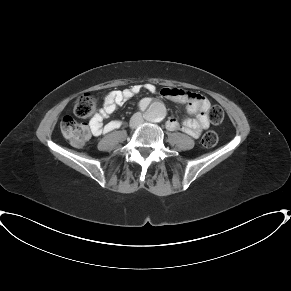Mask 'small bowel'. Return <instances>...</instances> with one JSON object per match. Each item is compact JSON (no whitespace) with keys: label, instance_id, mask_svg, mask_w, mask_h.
Listing matches in <instances>:
<instances>
[{"label":"small bowel","instance_id":"1","mask_svg":"<svg viewBox=\"0 0 291 291\" xmlns=\"http://www.w3.org/2000/svg\"><path fill=\"white\" fill-rule=\"evenodd\" d=\"M147 91L158 93L161 97L169 100L187 103V113L194 118H186L181 123L174 117L168 118L166 128L170 131L181 130L193 138H198L202 132L209 128L210 120L208 117L209 101L199 93H191L184 90L173 88L158 89L153 83L134 85L122 91H111L104 97L103 107L90 121V126L94 135L109 133L119 128L118 121L104 122L107 116L122 106L127 100L140 93ZM150 101L143 99L139 107L145 109L149 106Z\"/></svg>","mask_w":291,"mask_h":291}]
</instances>
